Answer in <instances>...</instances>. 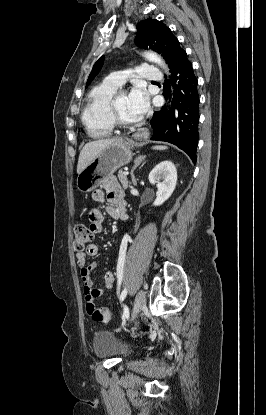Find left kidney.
I'll list each match as a JSON object with an SVG mask.
<instances>
[{
  "instance_id": "left-kidney-1",
  "label": "left kidney",
  "mask_w": 266,
  "mask_h": 415,
  "mask_svg": "<svg viewBox=\"0 0 266 415\" xmlns=\"http://www.w3.org/2000/svg\"><path fill=\"white\" fill-rule=\"evenodd\" d=\"M149 182L156 184L157 193L154 206L162 205L174 192L177 183V170L171 161H162L149 174Z\"/></svg>"
}]
</instances>
